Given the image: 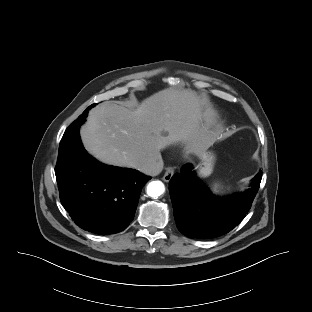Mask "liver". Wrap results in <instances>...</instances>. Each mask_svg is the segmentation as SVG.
<instances>
[{
	"instance_id": "6515ba94",
	"label": "liver",
	"mask_w": 312,
	"mask_h": 312,
	"mask_svg": "<svg viewBox=\"0 0 312 312\" xmlns=\"http://www.w3.org/2000/svg\"><path fill=\"white\" fill-rule=\"evenodd\" d=\"M205 102L192 90L174 88L150 96L134 110L106 101L89 111L81 140L99 161L128 168L177 143L199 154L218 135L212 120L203 123Z\"/></svg>"
}]
</instances>
